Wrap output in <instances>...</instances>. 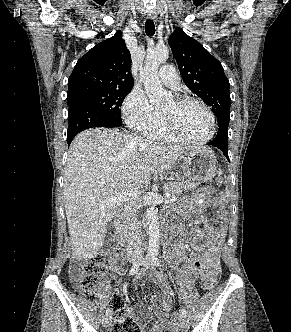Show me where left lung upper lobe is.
Instances as JSON below:
<instances>
[{"label": "left lung upper lobe", "mask_w": 291, "mask_h": 332, "mask_svg": "<svg viewBox=\"0 0 291 332\" xmlns=\"http://www.w3.org/2000/svg\"><path fill=\"white\" fill-rule=\"evenodd\" d=\"M168 43L186 86L212 108L218 122L225 120L228 126L231 99L221 63L179 27Z\"/></svg>", "instance_id": "obj_1"}]
</instances>
